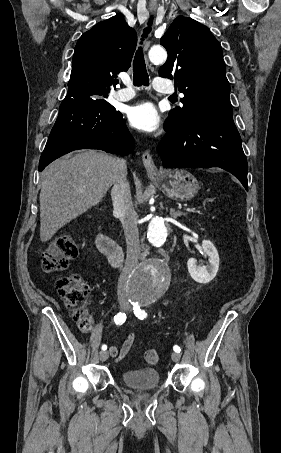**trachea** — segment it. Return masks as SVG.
<instances>
[{
  "instance_id": "3493384b",
  "label": "trachea",
  "mask_w": 281,
  "mask_h": 453,
  "mask_svg": "<svg viewBox=\"0 0 281 453\" xmlns=\"http://www.w3.org/2000/svg\"><path fill=\"white\" fill-rule=\"evenodd\" d=\"M153 18L151 17L148 22L147 28L144 29V33L142 35V39H145L147 35L151 31ZM133 82L134 85L140 87L141 85L148 86L149 85V78L148 73L146 70V64L144 61L143 51L139 48L136 51L134 61H133Z\"/></svg>"
}]
</instances>
